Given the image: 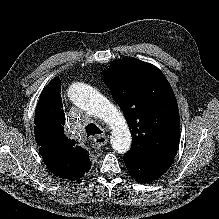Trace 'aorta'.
Returning a JSON list of instances; mask_svg holds the SVG:
<instances>
[{
    "instance_id": "aorta-1",
    "label": "aorta",
    "mask_w": 219,
    "mask_h": 219,
    "mask_svg": "<svg viewBox=\"0 0 219 219\" xmlns=\"http://www.w3.org/2000/svg\"><path fill=\"white\" fill-rule=\"evenodd\" d=\"M69 99L79 108L102 120L111 130V144L120 154L131 147V133L122 112L88 84L76 82L68 89Z\"/></svg>"
}]
</instances>
